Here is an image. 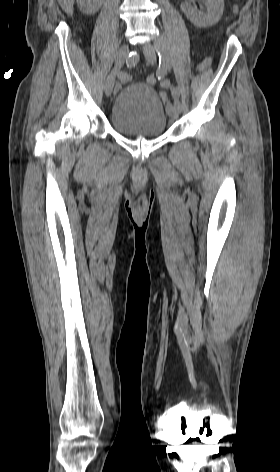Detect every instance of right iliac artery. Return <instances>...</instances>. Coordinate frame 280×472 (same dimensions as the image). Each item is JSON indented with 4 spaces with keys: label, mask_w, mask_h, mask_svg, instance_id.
Masks as SVG:
<instances>
[{
    "label": "right iliac artery",
    "mask_w": 280,
    "mask_h": 472,
    "mask_svg": "<svg viewBox=\"0 0 280 472\" xmlns=\"http://www.w3.org/2000/svg\"><path fill=\"white\" fill-rule=\"evenodd\" d=\"M139 62V55L137 52H131L126 58V65L128 68L134 67ZM119 80L126 82L130 79V75L127 71H120L117 73Z\"/></svg>",
    "instance_id": "82829eb1"
}]
</instances>
